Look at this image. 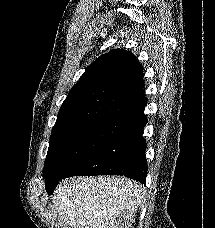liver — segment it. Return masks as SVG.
<instances>
[{
    "mask_svg": "<svg viewBox=\"0 0 215 228\" xmlns=\"http://www.w3.org/2000/svg\"><path fill=\"white\" fill-rule=\"evenodd\" d=\"M142 192L124 176H79L58 184L52 204L69 228H132Z\"/></svg>",
    "mask_w": 215,
    "mask_h": 228,
    "instance_id": "liver-1",
    "label": "liver"
}]
</instances>
